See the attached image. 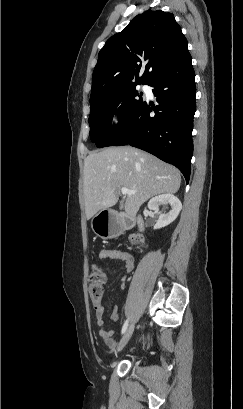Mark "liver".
<instances>
[{
    "mask_svg": "<svg viewBox=\"0 0 243 409\" xmlns=\"http://www.w3.org/2000/svg\"><path fill=\"white\" fill-rule=\"evenodd\" d=\"M180 184L176 167L134 147H109L90 153L84 161L83 176L86 218L114 206L123 187L137 191L127 195L124 206L126 215L133 218L148 199L174 194Z\"/></svg>",
    "mask_w": 243,
    "mask_h": 409,
    "instance_id": "liver-1",
    "label": "liver"
}]
</instances>
